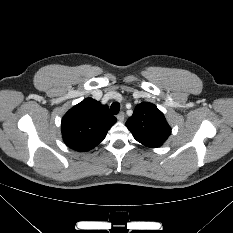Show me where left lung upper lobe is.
<instances>
[{
	"instance_id": "left-lung-upper-lobe-1",
	"label": "left lung upper lobe",
	"mask_w": 233,
	"mask_h": 233,
	"mask_svg": "<svg viewBox=\"0 0 233 233\" xmlns=\"http://www.w3.org/2000/svg\"><path fill=\"white\" fill-rule=\"evenodd\" d=\"M126 126L138 142L150 148L161 146L171 134L164 114L149 102H142L135 107Z\"/></svg>"
}]
</instances>
